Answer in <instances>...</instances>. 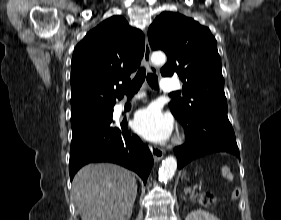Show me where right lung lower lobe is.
Wrapping results in <instances>:
<instances>
[{"label":"right lung lower lobe","instance_id":"98d812e1","mask_svg":"<svg viewBox=\"0 0 281 220\" xmlns=\"http://www.w3.org/2000/svg\"><path fill=\"white\" fill-rule=\"evenodd\" d=\"M113 107L107 113L72 126L69 172L75 173L91 162H112L136 172L146 183L153 157L140 138L112 121Z\"/></svg>","mask_w":281,"mask_h":220}]
</instances>
